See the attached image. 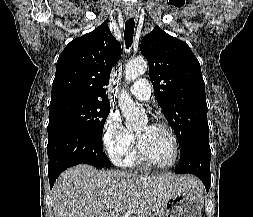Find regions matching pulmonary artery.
Instances as JSON below:
<instances>
[{"label":"pulmonary artery","instance_id":"1","mask_svg":"<svg viewBox=\"0 0 253 217\" xmlns=\"http://www.w3.org/2000/svg\"><path fill=\"white\" fill-rule=\"evenodd\" d=\"M130 93L139 100L148 101L151 98V85L145 79H139L129 88Z\"/></svg>","mask_w":253,"mask_h":217}]
</instances>
